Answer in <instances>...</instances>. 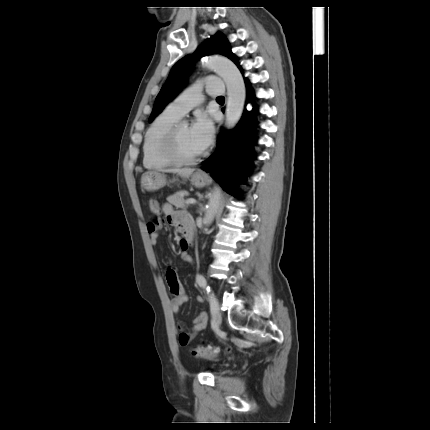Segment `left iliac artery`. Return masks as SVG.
I'll return each instance as SVG.
<instances>
[{
	"label": "left iliac artery",
	"instance_id": "left-iliac-artery-1",
	"mask_svg": "<svg viewBox=\"0 0 430 430\" xmlns=\"http://www.w3.org/2000/svg\"><path fill=\"white\" fill-rule=\"evenodd\" d=\"M197 283L200 287H202L206 293L208 294V299L210 302V305H213L216 302V298L213 293H211V288L207 285V281L204 278L203 275H198L196 278Z\"/></svg>",
	"mask_w": 430,
	"mask_h": 430
}]
</instances>
